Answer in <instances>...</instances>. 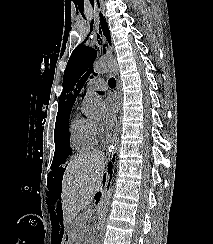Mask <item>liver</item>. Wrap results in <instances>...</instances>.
I'll return each mask as SVG.
<instances>
[{
	"instance_id": "liver-1",
	"label": "liver",
	"mask_w": 213,
	"mask_h": 244,
	"mask_svg": "<svg viewBox=\"0 0 213 244\" xmlns=\"http://www.w3.org/2000/svg\"><path fill=\"white\" fill-rule=\"evenodd\" d=\"M105 163L106 157L102 152L83 153L68 163L62 180L61 202L64 222L70 234L79 210L102 188Z\"/></svg>"
}]
</instances>
